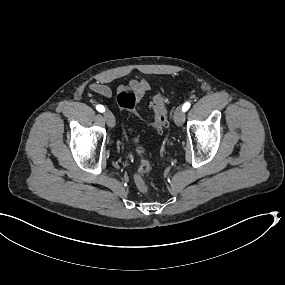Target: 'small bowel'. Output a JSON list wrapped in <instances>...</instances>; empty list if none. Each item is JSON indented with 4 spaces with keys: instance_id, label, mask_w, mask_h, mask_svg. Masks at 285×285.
<instances>
[{
    "instance_id": "obj_1",
    "label": "small bowel",
    "mask_w": 285,
    "mask_h": 285,
    "mask_svg": "<svg viewBox=\"0 0 285 285\" xmlns=\"http://www.w3.org/2000/svg\"><path fill=\"white\" fill-rule=\"evenodd\" d=\"M90 88L92 91H94L95 93L106 97V98H110L112 95L111 89L109 88V86H107L106 84L103 83H93L90 85ZM149 85L148 83L143 80V79H133L131 81H129V83L127 85H121L119 86L118 90L121 91H125V90H130L132 92H134L136 94V96L138 97V99L140 100L145 92L148 90Z\"/></svg>"
}]
</instances>
